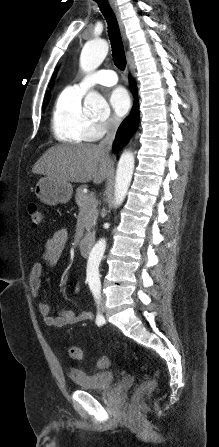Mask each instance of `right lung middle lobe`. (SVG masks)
<instances>
[{
	"instance_id": "dd1d6c3e",
	"label": "right lung middle lobe",
	"mask_w": 219,
	"mask_h": 447,
	"mask_svg": "<svg viewBox=\"0 0 219 447\" xmlns=\"http://www.w3.org/2000/svg\"><path fill=\"white\" fill-rule=\"evenodd\" d=\"M49 99V98H48ZM48 99L44 100V105L47 103Z\"/></svg>"
}]
</instances>
